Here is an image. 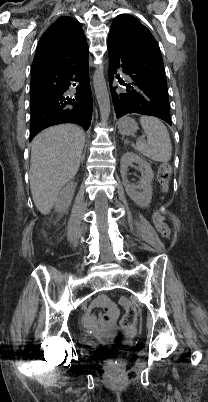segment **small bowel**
<instances>
[{
	"label": "small bowel",
	"instance_id": "small-bowel-1",
	"mask_svg": "<svg viewBox=\"0 0 208 402\" xmlns=\"http://www.w3.org/2000/svg\"><path fill=\"white\" fill-rule=\"evenodd\" d=\"M98 300L95 301V307H101L104 309L103 314H100V321L96 315H90V312H87V321L84 324L86 330H94L97 327L98 330H108L111 327V324L115 322L116 309L115 306L108 299V295L105 292H101L98 295ZM108 300V303L105 304L103 301ZM98 321V322H97ZM97 323V324H96Z\"/></svg>",
	"mask_w": 208,
	"mask_h": 402
}]
</instances>
